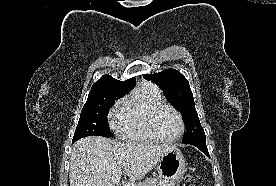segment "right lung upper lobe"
<instances>
[{
    "instance_id": "right-lung-upper-lobe-1",
    "label": "right lung upper lobe",
    "mask_w": 276,
    "mask_h": 186,
    "mask_svg": "<svg viewBox=\"0 0 276 186\" xmlns=\"http://www.w3.org/2000/svg\"><path fill=\"white\" fill-rule=\"evenodd\" d=\"M135 78L126 81L116 80L110 75H103L93 86L90 93L111 92L127 94L135 85Z\"/></svg>"
}]
</instances>
